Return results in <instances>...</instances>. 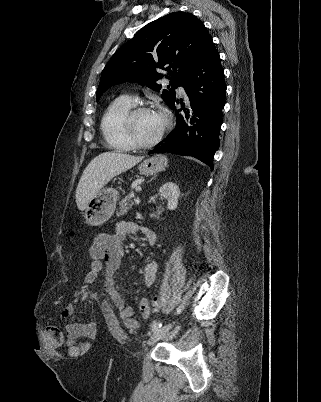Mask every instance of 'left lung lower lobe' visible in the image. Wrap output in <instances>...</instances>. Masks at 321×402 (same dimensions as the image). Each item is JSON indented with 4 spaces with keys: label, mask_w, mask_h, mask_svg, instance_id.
<instances>
[{
    "label": "left lung lower lobe",
    "mask_w": 321,
    "mask_h": 402,
    "mask_svg": "<svg viewBox=\"0 0 321 402\" xmlns=\"http://www.w3.org/2000/svg\"><path fill=\"white\" fill-rule=\"evenodd\" d=\"M188 96L187 104L176 110L175 129L149 151L171 152L193 156L213 169V158L219 147L222 109L225 105L226 84L220 56L210 38L197 59L182 77ZM175 100L169 105L175 108Z\"/></svg>",
    "instance_id": "0a47b994"
}]
</instances>
